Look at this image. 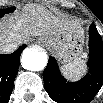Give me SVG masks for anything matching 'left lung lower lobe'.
Here are the masks:
<instances>
[{
    "label": "left lung lower lobe",
    "mask_w": 103,
    "mask_h": 103,
    "mask_svg": "<svg viewBox=\"0 0 103 103\" xmlns=\"http://www.w3.org/2000/svg\"><path fill=\"white\" fill-rule=\"evenodd\" d=\"M89 74L78 82H67L53 57L43 72L44 86L58 103H89L103 84V45L95 25L89 28Z\"/></svg>",
    "instance_id": "0a47b994"
}]
</instances>
